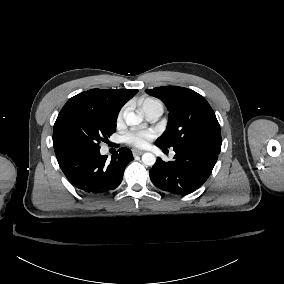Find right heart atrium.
I'll return each mask as SVG.
<instances>
[{
    "instance_id": "right-heart-atrium-1",
    "label": "right heart atrium",
    "mask_w": 284,
    "mask_h": 284,
    "mask_svg": "<svg viewBox=\"0 0 284 284\" xmlns=\"http://www.w3.org/2000/svg\"><path fill=\"white\" fill-rule=\"evenodd\" d=\"M124 112H125V108H122L121 111H120V113H119V116H118V119H119V120L123 118Z\"/></svg>"
}]
</instances>
